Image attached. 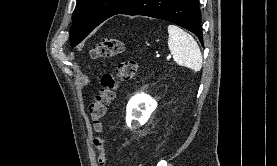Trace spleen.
Masks as SVG:
<instances>
[{
  "label": "spleen",
  "mask_w": 277,
  "mask_h": 166,
  "mask_svg": "<svg viewBox=\"0 0 277 166\" xmlns=\"http://www.w3.org/2000/svg\"><path fill=\"white\" fill-rule=\"evenodd\" d=\"M168 47L174 61L197 72L202 68V54L195 39L175 25L168 26Z\"/></svg>",
  "instance_id": "obj_1"
}]
</instances>
